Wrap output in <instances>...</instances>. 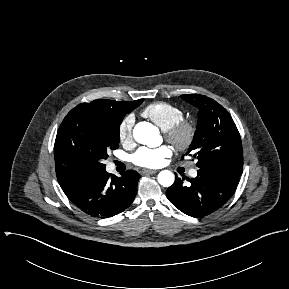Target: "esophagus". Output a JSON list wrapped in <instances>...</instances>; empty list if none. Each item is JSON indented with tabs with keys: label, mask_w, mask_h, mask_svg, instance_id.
I'll return each instance as SVG.
<instances>
[{
	"label": "esophagus",
	"mask_w": 289,
	"mask_h": 289,
	"mask_svg": "<svg viewBox=\"0 0 289 289\" xmlns=\"http://www.w3.org/2000/svg\"><path fill=\"white\" fill-rule=\"evenodd\" d=\"M158 171L157 170H150V169H144L141 171L142 175H153L156 174Z\"/></svg>",
	"instance_id": "esophagus-1"
}]
</instances>
